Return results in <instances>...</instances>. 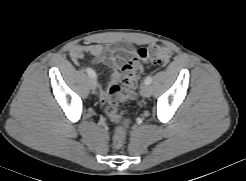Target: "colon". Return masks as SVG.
I'll return each mask as SVG.
<instances>
[{"mask_svg":"<svg viewBox=\"0 0 246 181\" xmlns=\"http://www.w3.org/2000/svg\"><path fill=\"white\" fill-rule=\"evenodd\" d=\"M170 48L164 45H151L138 50L137 54L122 68L123 84L111 85L105 95L106 113L111 120L119 124L114 129L113 147L123 146L129 121L122 118L119 107L136 96L138 78L146 64L165 65L171 58Z\"/></svg>","mask_w":246,"mask_h":181,"instance_id":"colon-1","label":"colon"}]
</instances>
